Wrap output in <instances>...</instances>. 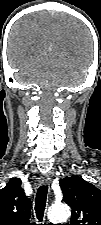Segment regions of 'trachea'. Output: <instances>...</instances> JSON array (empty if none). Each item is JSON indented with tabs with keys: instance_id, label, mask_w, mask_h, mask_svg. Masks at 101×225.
Here are the masks:
<instances>
[{
	"instance_id": "obj_1",
	"label": "trachea",
	"mask_w": 101,
	"mask_h": 225,
	"mask_svg": "<svg viewBox=\"0 0 101 225\" xmlns=\"http://www.w3.org/2000/svg\"><path fill=\"white\" fill-rule=\"evenodd\" d=\"M48 193V186L42 185L37 190L35 199V211L38 220L41 222L43 220V215L46 207V199Z\"/></svg>"
}]
</instances>
